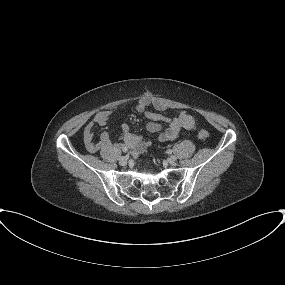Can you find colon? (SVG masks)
I'll list each match as a JSON object with an SVG mask.
<instances>
[{"instance_id": "5ec220e1", "label": "colon", "mask_w": 285, "mask_h": 285, "mask_svg": "<svg viewBox=\"0 0 285 285\" xmlns=\"http://www.w3.org/2000/svg\"><path fill=\"white\" fill-rule=\"evenodd\" d=\"M208 137H209V134H208V132L206 130H201L198 133V138L201 139V140H206Z\"/></svg>"}]
</instances>
